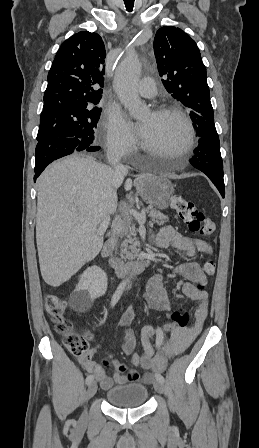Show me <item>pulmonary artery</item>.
Returning <instances> with one entry per match:
<instances>
[{
    "mask_svg": "<svg viewBox=\"0 0 259 448\" xmlns=\"http://www.w3.org/2000/svg\"><path fill=\"white\" fill-rule=\"evenodd\" d=\"M128 64L131 62L126 60ZM151 81L153 85H148L147 82ZM136 92L145 97H153L156 94L155 81L151 78H141L135 88Z\"/></svg>",
    "mask_w": 259,
    "mask_h": 448,
    "instance_id": "1",
    "label": "pulmonary artery"
}]
</instances>
